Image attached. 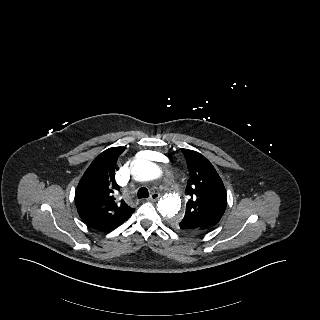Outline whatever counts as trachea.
Segmentation results:
<instances>
[{
    "mask_svg": "<svg viewBox=\"0 0 320 320\" xmlns=\"http://www.w3.org/2000/svg\"><path fill=\"white\" fill-rule=\"evenodd\" d=\"M148 196H149V192H148L147 188L141 187V188L138 190L137 197H138L139 199H141V198H147Z\"/></svg>",
    "mask_w": 320,
    "mask_h": 320,
    "instance_id": "trachea-1",
    "label": "trachea"
}]
</instances>
